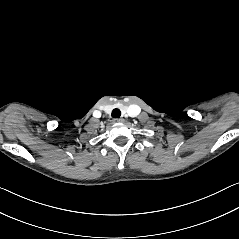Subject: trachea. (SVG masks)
<instances>
[{
    "label": "trachea",
    "mask_w": 239,
    "mask_h": 239,
    "mask_svg": "<svg viewBox=\"0 0 239 239\" xmlns=\"http://www.w3.org/2000/svg\"><path fill=\"white\" fill-rule=\"evenodd\" d=\"M120 116H121V111L119 109L116 108L112 111L113 118H119Z\"/></svg>",
    "instance_id": "trachea-1"
}]
</instances>
